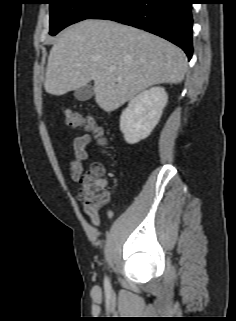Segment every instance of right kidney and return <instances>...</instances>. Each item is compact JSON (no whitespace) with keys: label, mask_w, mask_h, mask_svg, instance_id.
I'll return each mask as SVG.
<instances>
[{"label":"right kidney","mask_w":236,"mask_h":321,"mask_svg":"<svg viewBox=\"0 0 236 321\" xmlns=\"http://www.w3.org/2000/svg\"><path fill=\"white\" fill-rule=\"evenodd\" d=\"M168 95L163 87H152L130 100L120 116V130L129 144H135L150 135L158 124Z\"/></svg>","instance_id":"1"}]
</instances>
